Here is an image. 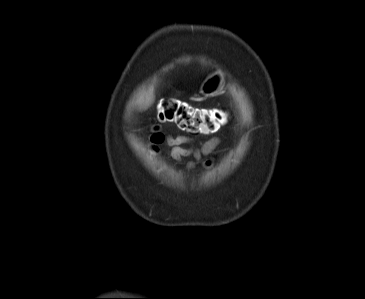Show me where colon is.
<instances>
[{
	"label": "colon",
	"instance_id": "5ec220e1",
	"mask_svg": "<svg viewBox=\"0 0 365 299\" xmlns=\"http://www.w3.org/2000/svg\"><path fill=\"white\" fill-rule=\"evenodd\" d=\"M222 120L223 112L220 109L195 108L175 99H164L156 116L159 124L172 123L194 135H209L216 132L222 125ZM163 140V134L158 127H155L152 136L153 147L159 146Z\"/></svg>",
	"mask_w": 365,
	"mask_h": 299
}]
</instances>
